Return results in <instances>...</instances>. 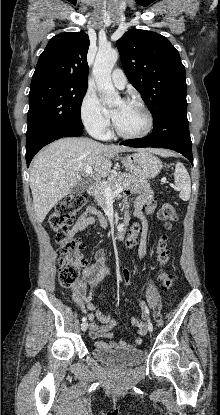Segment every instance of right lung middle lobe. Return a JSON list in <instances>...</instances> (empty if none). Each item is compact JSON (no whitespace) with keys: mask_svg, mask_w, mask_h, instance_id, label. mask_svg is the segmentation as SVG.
Returning a JSON list of instances; mask_svg holds the SVG:
<instances>
[{"mask_svg":"<svg viewBox=\"0 0 220 415\" xmlns=\"http://www.w3.org/2000/svg\"><path fill=\"white\" fill-rule=\"evenodd\" d=\"M87 85L44 79L31 82L26 146L47 133L83 129L80 110Z\"/></svg>","mask_w":220,"mask_h":415,"instance_id":"dd1d6c3e","label":"right lung middle lobe"}]
</instances>
